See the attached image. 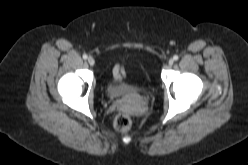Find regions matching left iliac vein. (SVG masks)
I'll list each match as a JSON object with an SVG mask.
<instances>
[{"label":"left iliac vein","mask_w":248,"mask_h":165,"mask_svg":"<svg viewBox=\"0 0 248 165\" xmlns=\"http://www.w3.org/2000/svg\"><path fill=\"white\" fill-rule=\"evenodd\" d=\"M173 63H174V60L173 59H169L168 64L171 66V65H173Z\"/></svg>","instance_id":"4c4485c4"}]
</instances>
